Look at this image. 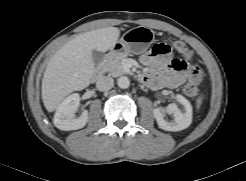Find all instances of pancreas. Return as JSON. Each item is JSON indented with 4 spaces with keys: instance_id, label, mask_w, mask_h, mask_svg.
I'll return each mask as SVG.
<instances>
[{
    "instance_id": "cf45deb5",
    "label": "pancreas",
    "mask_w": 246,
    "mask_h": 181,
    "mask_svg": "<svg viewBox=\"0 0 246 181\" xmlns=\"http://www.w3.org/2000/svg\"><path fill=\"white\" fill-rule=\"evenodd\" d=\"M127 56L128 54L126 53L106 59L101 66L102 71L108 72L113 77L127 74L129 71L123 66V61Z\"/></svg>"
}]
</instances>
